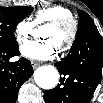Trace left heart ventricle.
Returning <instances> with one entry per match:
<instances>
[{"mask_svg": "<svg viewBox=\"0 0 103 103\" xmlns=\"http://www.w3.org/2000/svg\"><path fill=\"white\" fill-rule=\"evenodd\" d=\"M68 34L67 29H56L52 26H47L41 36L44 39H51L58 48L66 41Z\"/></svg>", "mask_w": 103, "mask_h": 103, "instance_id": "1", "label": "left heart ventricle"}]
</instances>
